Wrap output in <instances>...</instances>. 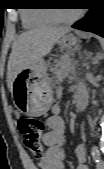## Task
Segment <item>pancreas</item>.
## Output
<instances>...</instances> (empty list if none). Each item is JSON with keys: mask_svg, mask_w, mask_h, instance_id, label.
<instances>
[{"mask_svg": "<svg viewBox=\"0 0 104 169\" xmlns=\"http://www.w3.org/2000/svg\"><path fill=\"white\" fill-rule=\"evenodd\" d=\"M63 64L62 68L55 71L56 78L62 80L75 71V61L69 55H64L60 61Z\"/></svg>", "mask_w": 104, "mask_h": 169, "instance_id": "pancreas-1", "label": "pancreas"}]
</instances>
